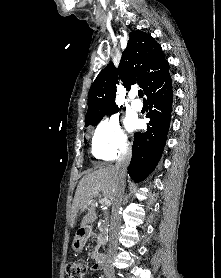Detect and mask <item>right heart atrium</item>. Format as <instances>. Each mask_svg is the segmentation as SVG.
Here are the masks:
<instances>
[{
  "mask_svg": "<svg viewBox=\"0 0 221 278\" xmlns=\"http://www.w3.org/2000/svg\"><path fill=\"white\" fill-rule=\"evenodd\" d=\"M131 143L116 115L103 119L95 128L92 137V153L102 161H111L126 154Z\"/></svg>",
  "mask_w": 221,
  "mask_h": 278,
  "instance_id": "obj_1",
  "label": "right heart atrium"
}]
</instances>
